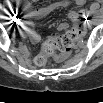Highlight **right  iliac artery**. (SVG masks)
Masks as SVG:
<instances>
[{
    "label": "right iliac artery",
    "mask_w": 103,
    "mask_h": 103,
    "mask_svg": "<svg viewBox=\"0 0 103 103\" xmlns=\"http://www.w3.org/2000/svg\"><path fill=\"white\" fill-rule=\"evenodd\" d=\"M11 11L15 16L18 14V8H11Z\"/></svg>",
    "instance_id": "1"
}]
</instances>
